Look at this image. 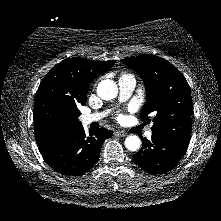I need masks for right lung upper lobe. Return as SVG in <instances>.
Returning <instances> with one entry per match:
<instances>
[{
    "mask_svg": "<svg viewBox=\"0 0 221 221\" xmlns=\"http://www.w3.org/2000/svg\"><path fill=\"white\" fill-rule=\"evenodd\" d=\"M115 61H93L83 58H68L58 63L42 80L35 96V139L40 152L45 151L73 130L81 122L62 126L55 131L43 129L37 120L41 101L51 98L67 105H84L91 82L107 71Z\"/></svg>",
    "mask_w": 221,
    "mask_h": 221,
    "instance_id": "1",
    "label": "right lung upper lobe"
}]
</instances>
